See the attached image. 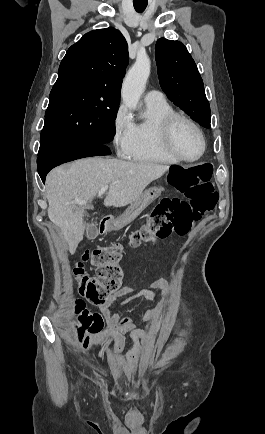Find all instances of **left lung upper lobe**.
Listing matches in <instances>:
<instances>
[{"mask_svg":"<svg viewBox=\"0 0 265 434\" xmlns=\"http://www.w3.org/2000/svg\"><path fill=\"white\" fill-rule=\"evenodd\" d=\"M155 57L160 85L168 98L201 126L210 128V106L203 81L186 47L160 38Z\"/></svg>","mask_w":265,"mask_h":434,"instance_id":"left-lung-upper-lobe-1","label":"left lung upper lobe"}]
</instances>
